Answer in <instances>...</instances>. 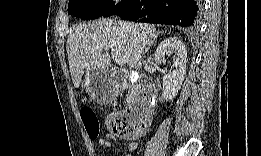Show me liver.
I'll return each mask as SVG.
<instances>
[{
  "mask_svg": "<svg viewBox=\"0 0 261 156\" xmlns=\"http://www.w3.org/2000/svg\"><path fill=\"white\" fill-rule=\"evenodd\" d=\"M160 32L154 25L99 19L73 27L67 39L70 73L79 88L84 72L106 69L112 56L122 58L130 68L142 67L141 54Z\"/></svg>",
  "mask_w": 261,
  "mask_h": 156,
  "instance_id": "liver-1",
  "label": "liver"
}]
</instances>
